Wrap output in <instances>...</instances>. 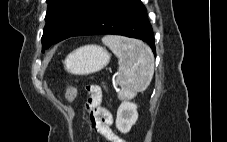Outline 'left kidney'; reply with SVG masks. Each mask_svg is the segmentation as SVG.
<instances>
[{
	"label": "left kidney",
	"instance_id": "obj_1",
	"mask_svg": "<svg viewBox=\"0 0 227 142\" xmlns=\"http://www.w3.org/2000/svg\"><path fill=\"white\" fill-rule=\"evenodd\" d=\"M138 119L137 105L124 101L117 110L116 127L122 133H128Z\"/></svg>",
	"mask_w": 227,
	"mask_h": 142
}]
</instances>
